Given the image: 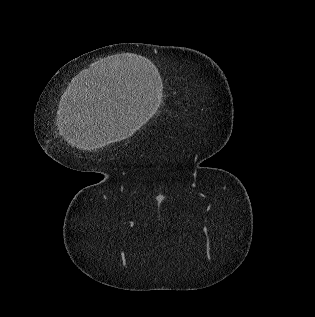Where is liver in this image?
Instances as JSON below:
<instances>
[{
  "label": "liver",
  "mask_w": 315,
  "mask_h": 317,
  "mask_svg": "<svg viewBox=\"0 0 315 317\" xmlns=\"http://www.w3.org/2000/svg\"><path fill=\"white\" fill-rule=\"evenodd\" d=\"M108 96L100 98L80 95L74 103L62 109L60 131L72 146L83 150H93L109 143L118 142L132 136L141 126L129 117L116 103L110 105Z\"/></svg>",
  "instance_id": "obj_1"
}]
</instances>
